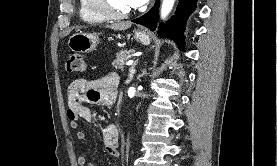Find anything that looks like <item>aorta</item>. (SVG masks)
I'll list each match as a JSON object with an SVG mask.
<instances>
[{
    "mask_svg": "<svg viewBox=\"0 0 277 166\" xmlns=\"http://www.w3.org/2000/svg\"><path fill=\"white\" fill-rule=\"evenodd\" d=\"M175 0H163L161 6V17L165 18L173 8Z\"/></svg>",
    "mask_w": 277,
    "mask_h": 166,
    "instance_id": "1",
    "label": "aorta"
}]
</instances>
